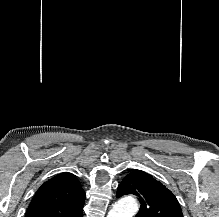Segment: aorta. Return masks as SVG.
Listing matches in <instances>:
<instances>
[{"mask_svg": "<svg viewBox=\"0 0 219 217\" xmlns=\"http://www.w3.org/2000/svg\"><path fill=\"white\" fill-rule=\"evenodd\" d=\"M138 208L136 199L126 197L115 203L107 217H133Z\"/></svg>", "mask_w": 219, "mask_h": 217, "instance_id": "aorta-1", "label": "aorta"}]
</instances>
